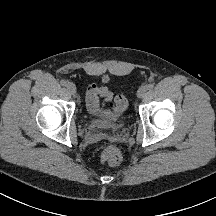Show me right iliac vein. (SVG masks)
I'll return each mask as SVG.
<instances>
[{
  "label": "right iliac vein",
  "mask_w": 216,
  "mask_h": 216,
  "mask_svg": "<svg viewBox=\"0 0 216 216\" xmlns=\"http://www.w3.org/2000/svg\"><path fill=\"white\" fill-rule=\"evenodd\" d=\"M67 90L69 91V93L71 94H75L76 93V86L75 84L68 82V84L66 85Z\"/></svg>",
  "instance_id": "right-iliac-vein-1"
}]
</instances>
